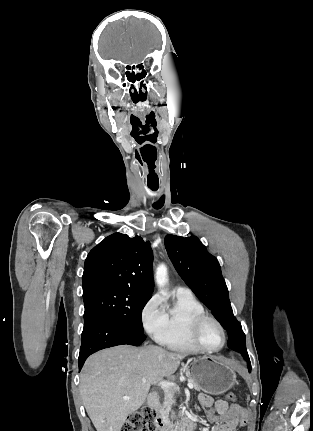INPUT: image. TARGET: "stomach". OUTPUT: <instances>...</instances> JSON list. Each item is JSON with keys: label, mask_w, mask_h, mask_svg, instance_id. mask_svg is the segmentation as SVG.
Listing matches in <instances>:
<instances>
[{"label": "stomach", "mask_w": 313, "mask_h": 431, "mask_svg": "<svg viewBox=\"0 0 313 431\" xmlns=\"http://www.w3.org/2000/svg\"><path fill=\"white\" fill-rule=\"evenodd\" d=\"M191 361L188 371L204 392L212 395L223 394L235 385V371L219 358L203 356Z\"/></svg>", "instance_id": "obj_1"}]
</instances>
